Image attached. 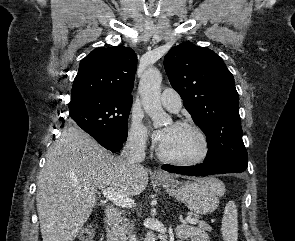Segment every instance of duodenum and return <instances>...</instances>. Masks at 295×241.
<instances>
[{"instance_id": "duodenum-1", "label": "duodenum", "mask_w": 295, "mask_h": 241, "mask_svg": "<svg viewBox=\"0 0 295 241\" xmlns=\"http://www.w3.org/2000/svg\"><path fill=\"white\" fill-rule=\"evenodd\" d=\"M119 218V211L114 206H107L105 209L104 230L108 241H125L117 229V221ZM165 241V239H161Z\"/></svg>"}]
</instances>
